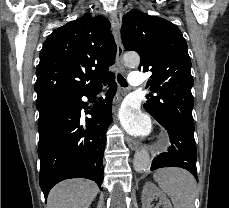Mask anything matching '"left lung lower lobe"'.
Wrapping results in <instances>:
<instances>
[{
	"label": "left lung lower lobe",
	"instance_id": "0a47b994",
	"mask_svg": "<svg viewBox=\"0 0 229 208\" xmlns=\"http://www.w3.org/2000/svg\"><path fill=\"white\" fill-rule=\"evenodd\" d=\"M155 119L168 131L171 145L167 152L154 158L150 170L170 166L181 167L190 171L198 181L194 126L182 120H170L162 117Z\"/></svg>",
	"mask_w": 229,
	"mask_h": 208
}]
</instances>
